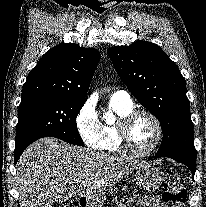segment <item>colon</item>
Returning a JSON list of instances; mask_svg holds the SVG:
<instances>
[{"instance_id": "1", "label": "colon", "mask_w": 206, "mask_h": 207, "mask_svg": "<svg viewBox=\"0 0 206 207\" xmlns=\"http://www.w3.org/2000/svg\"><path fill=\"white\" fill-rule=\"evenodd\" d=\"M187 192L179 176L170 177L164 184L162 199L168 207H184ZM61 207H76V204H64Z\"/></svg>"}]
</instances>
